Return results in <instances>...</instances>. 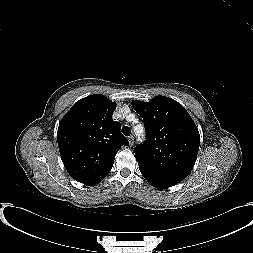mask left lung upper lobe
I'll list each match as a JSON object with an SVG mask.
<instances>
[{
    "label": "left lung upper lobe",
    "mask_w": 253,
    "mask_h": 253,
    "mask_svg": "<svg viewBox=\"0 0 253 253\" xmlns=\"http://www.w3.org/2000/svg\"><path fill=\"white\" fill-rule=\"evenodd\" d=\"M132 105L147 133L145 143L134 149L140 172L172 186L178 184L196 162L200 135L194 121L180 103L165 96Z\"/></svg>",
    "instance_id": "5c2ea615"
}]
</instances>
